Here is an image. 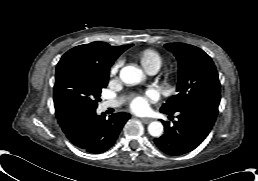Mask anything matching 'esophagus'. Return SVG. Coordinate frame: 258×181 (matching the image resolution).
<instances>
[{
    "instance_id": "obj_1",
    "label": "esophagus",
    "mask_w": 258,
    "mask_h": 181,
    "mask_svg": "<svg viewBox=\"0 0 258 181\" xmlns=\"http://www.w3.org/2000/svg\"><path fill=\"white\" fill-rule=\"evenodd\" d=\"M144 124H148V123H150L151 121H152V119H150V118H141L140 119Z\"/></svg>"
}]
</instances>
